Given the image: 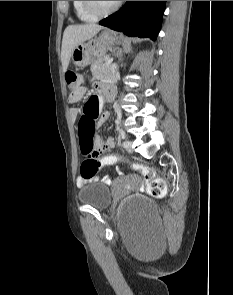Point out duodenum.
Returning <instances> with one entry per match:
<instances>
[{
	"instance_id": "obj_1",
	"label": "duodenum",
	"mask_w": 233,
	"mask_h": 295,
	"mask_svg": "<svg viewBox=\"0 0 233 295\" xmlns=\"http://www.w3.org/2000/svg\"><path fill=\"white\" fill-rule=\"evenodd\" d=\"M103 92L104 95L107 97H110L112 95V89H104Z\"/></svg>"
}]
</instances>
